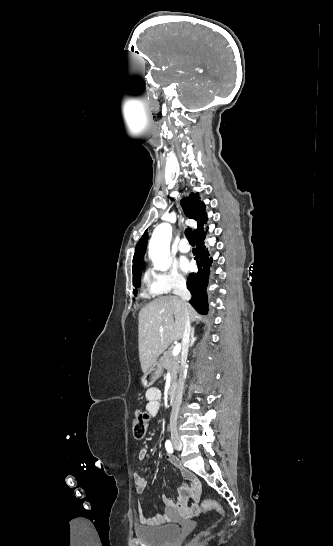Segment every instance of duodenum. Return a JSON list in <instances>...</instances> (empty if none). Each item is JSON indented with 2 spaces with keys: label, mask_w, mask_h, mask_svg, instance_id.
I'll use <instances>...</instances> for the list:
<instances>
[{
  "label": "duodenum",
  "mask_w": 333,
  "mask_h": 546,
  "mask_svg": "<svg viewBox=\"0 0 333 546\" xmlns=\"http://www.w3.org/2000/svg\"><path fill=\"white\" fill-rule=\"evenodd\" d=\"M169 398L171 404H175L177 400V387L175 385H172L169 391Z\"/></svg>",
  "instance_id": "1"
}]
</instances>
